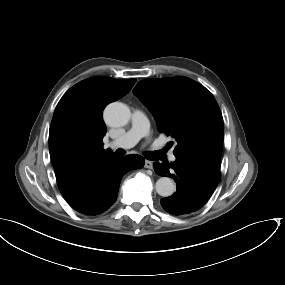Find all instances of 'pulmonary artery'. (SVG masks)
Returning a JSON list of instances; mask_svg holds the SVG:
<instances>
[{"mask_svg": "<svg viewBox=\"0 0 285 285\" xmlns=\"http://www.w3.org/2000/svg\"><path fill=\"white\" fill-rule=\"evenodd\" d=\"M149 134V125L145 115L140 111H134L131 118V128L120 136L118 139L110 141L106 144V148H131L133 147L142 137ZM169 159L174 161L173 154L169 155Z\"/></svg>", "mask_w": 285, "mask_h": 285, "instance_id": "obj_1", "label": "pulmonary artery"}]
</instances>
